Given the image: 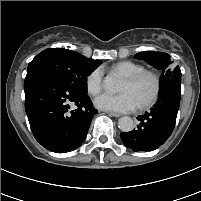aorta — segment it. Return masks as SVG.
I'll return each mask as SVG.
<instances>
[{"mask_svg":"<svg viewBox=\"0 0 201 201\" xmlns=\"http://www.w3.org/2000/svg\"><path fill=\"white\" fill-rule=\"evenodd\" d=\"M103 87L110 92H117L120 88L119 80L113 75H107L103 80ZM118 127L123 132L132 131L134 122L131 117L124 116L118 120Z\"/></svg>","mask_w":201,"mask_h":201,"instance_id":"obj_1","label":"aorta"}]
</instances>
